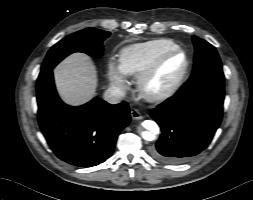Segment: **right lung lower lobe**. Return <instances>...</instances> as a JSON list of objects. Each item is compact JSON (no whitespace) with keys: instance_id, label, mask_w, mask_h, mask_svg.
I'll list each match as a JSON object with an SVG mask.
<instances>
[{"instance_id":"98d812e1","label":"right lung lower lobe","mask_w":253,"mask_h":200,"mask_svg":"<svg viewBox=\"0 0 253 200\" xmlns=\"http://www.w3.org/2000/svg\"><path fill=\"white\" fill-rule=\"evenodd\" d=\"M36 90L40 128L61 160L92 167L112 155L119 133L131 119L126 102L111 105L96 97L82 106L66 105L56 92L53 68L41 70Z\"/></svg>"}]
</instances>
